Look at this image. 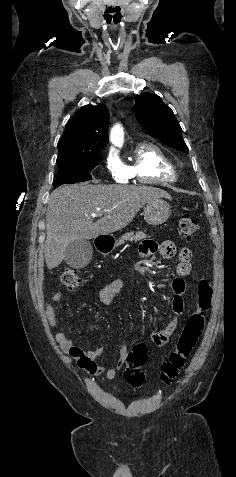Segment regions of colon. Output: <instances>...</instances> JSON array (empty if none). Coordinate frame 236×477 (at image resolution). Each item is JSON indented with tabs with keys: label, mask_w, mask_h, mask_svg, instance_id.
Returning <instances> with one entry per match:
<instances>
[{
	"label": "colon",
	"mask_w": 236,
	"mask_h": 477,
	"mask_svg": "<svg viewBox=\"0 0 236 477\" xmlns=\"http://www.w3.org/2000/svg\"><path fill=\"white\" fill-rule=\"evenodd\" d=\"M198 231V222L190 214H182L178 220V233L182 238L190 239ZM63 286L75 289L82 285V279L78 272L72 268H66L60 275ZM212 287L207 279H202L198 285V302L195 310L187 319L182 328L175 349L162 363L161 380L169 384L180 373L196 346L204 329L205 319L211 304ZM148 359V347L144 343L136 344L127 356V368L124 371V379L131 386L141 387L145 381L143 365Z\"/></svg>",
	"instance_id": "colon-1"
}]
</instances>
